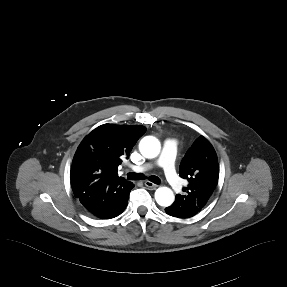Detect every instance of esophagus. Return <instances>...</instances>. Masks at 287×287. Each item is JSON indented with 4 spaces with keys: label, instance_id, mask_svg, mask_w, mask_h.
I'll use <instances>...</instances> for the list:
<instances>
[{
    "label": "esophagus",
    "instance_id": "34e87169",
    "mask_svg": "<svg viewBox=\"0 0 287 287\" xmlns=\"http://www.w3.org/2000/svg\"><path fill=\"white\" fill-rule=\"evenodd\" d=\"M147 187L152 188V189H156L158 187V185L152 183L151 181H145L144 183Z\"/></svg>",
    "mask_w": 287,
    "mask_h": 287
}]
</instances>
